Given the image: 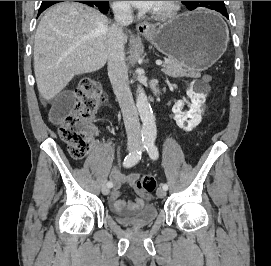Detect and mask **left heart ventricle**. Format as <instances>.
Listing matches in <instances>:
<instances>
[{
	"mask_svg": "<svg viewBox=\"0 0 271 266\" xmlns=\"http://www.w3.org/2000/svg\"><path fill=\"white\" fill-rule=\"evenodd\" d=\"M162 6H163V1H160L159 4L156 6L155 9H159V8H161Z\"/></svg>",
	"mask_w": 271,
	"mask_h": 266,
	"instance_id": "b2bd125f",
	"label": "left heart ventricle"
}]
</instances>
